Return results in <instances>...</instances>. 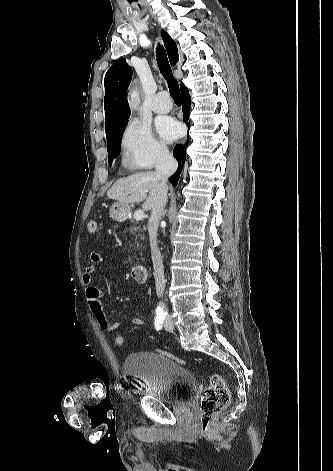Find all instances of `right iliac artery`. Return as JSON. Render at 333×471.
<instances>
[{
	"label": "right iliac artery",
	"instance_id": "right-iliac-artery-1",
	"mask_svg": "<svg viewBox=\"0 0 333 471\" xmlns=\"http://www.w3.org/2000/svg\"><path fill=\"white\" fill-rule=\"evenodd\" d=\"M166 314L164 312H157L155 316V327L157 330H160L162 328L163 322L165 320Z\"/></svg>",
	"mask_w": 333,
	"mask_h": 471
}]
</instances>
